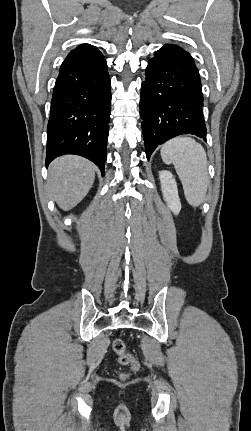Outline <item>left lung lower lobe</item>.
<instances>
[{
	"mask_svg": "<svg viewBox=\"0 0 251 431\" xmlns=\"http://www.w3.org/2000/svg\"><path fill=\"white\" fill-rule=\"evenodd\" d=\"M146 68L140 96V116L149 160L165 141L194 134L206 141L200 75L188 52L164 45Z\"/></svg>",
	"mask_w": 251,
	"mask_h": 431,
	"instance_id": "0a47b994",
	"label": "left lung lower lobe"
}]
</instances>
